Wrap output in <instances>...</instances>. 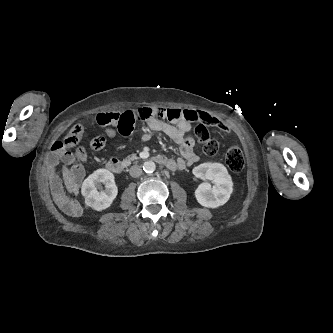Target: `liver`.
<instances>
[{"mask_svg": "<svg viewBox=\"0 0 333 333\" xmlns=\"http://www.w3.org/2000/svg\"><path fill=\"white\" fill-rule=\"evenodd\" d=\"M62 174H63L64 183H65V186H66V189L68 190V192L71 193V192L76 191L78 188V185L76 184L75 177L72 174V172L66 166H63Z\"/></svg>", "mask_w": 333, "mask_h": 333, "instance_id": "obj_1", "label": "liver"}]
</instances>
